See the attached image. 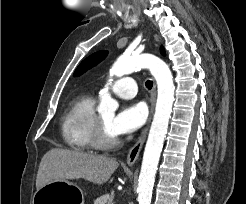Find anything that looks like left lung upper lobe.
Returning <instances> with one entry per match:
<instances>
[{"mask_svg":"<svg viewBox=\"0 0 246 204\" xmlns=\"http://www.w3.org/2000/svg\"><path fill=\"white\" fill-rule=\"evenodd\" d=\"M107 51H98L89 57H87L85 60H83L80 65L77 67V69L74 72V76H79L89 70L90 68L94 67L97 65L99 62H101L106 56H107ZM161 53L165 55L164 49L161 48Z\"/></svg>","mask_w":246,"mask_h":204,"instance_id":"1","label":"left lung upper lobe"}]
</instances>
